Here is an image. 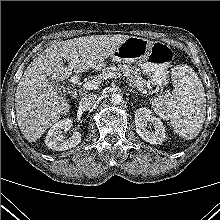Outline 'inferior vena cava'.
<instances>
[{
	"mask_svg": "<svg viewBox=\"0 0 220 220\" xmlns=\"http://www.w3.org/2000/svg\"><path fill=\"white\" fill-rule=\"evenodd\" d=\"M99 99L97 97V95L95 94H87L85 96H83L79 102V107L83 110V111H87L90 110L92 108H95L96 105L98 104Z\"/></svg>",
	"mask_w": 220,
	"mask_h": 220,
	"instance_id": "602c4592",
	"label": "inferior vena cava"
}]
</instances>
